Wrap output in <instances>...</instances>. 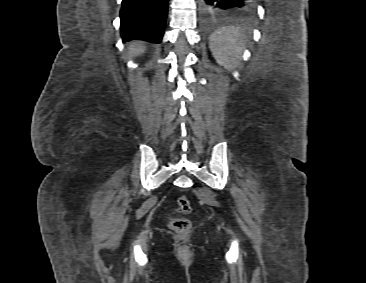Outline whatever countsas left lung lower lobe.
Listing matches in <instances>:
<instances>
[{
  "instance_id": "obj_1",
  "label": "left lung lower lobe",
  "mask_w": 366,
  "mask_h": 283,
  "mask_svg": "<svg viewBox=\"0 0 366 283\" xmlns=\"http://www.w3.org/2000/svg\"><path fill=\"white\" fill-rule=\"evenodd\" d=\"M199 4L207 16H224L241 10L252 11L257 0H199Z\"/></svg>"
}]
</instances>
